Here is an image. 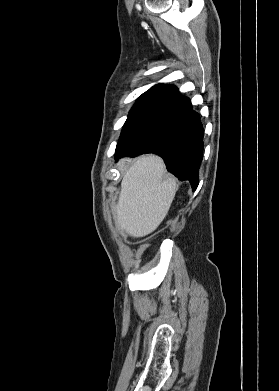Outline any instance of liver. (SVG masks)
Instances as JSON below:
<instances>
[{
  "label": "liver",
  "instance_id": "6515ba94",
  "mask_svg": "<svg viewBox=\"0 0 279 391\" xmlns=\"http://www.w3.org/2000/svg\"><path fill=\"white\" fill-rule=\"evenodd\" d=\"M118 204L114 210L115 224L122 235L144 237L157 229L167 215L176 193V180L167 176L159 156L147 155L126 169Z\"/></svg>",
  "mask_w": 279,
  "mask_h": 391
}]
</instances>
